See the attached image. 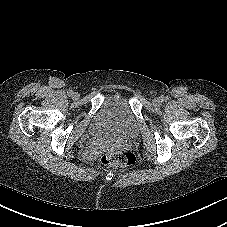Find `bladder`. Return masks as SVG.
I'll use <instances>...</instances> for the list:
<instances>
[{
  "instance_id": "obj_1",
  "label": "bladder",
  "mask_w": 227,
  "mask_h": 227,
  "mask_svg": "<svg viewBox=\"0 0 227 227\" xmlns=\"http://www.w3.org/2000/svg\"><path fill=\"white\" fill-rule=\"evenodd\" d=\"M91 130L99 138L129 140L138 135L139 122L126 99L109 96L95 113Z\"/></svg>"
}]
</instances>
